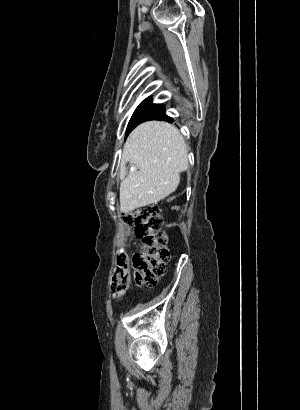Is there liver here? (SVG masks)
<instances>
[{
  "instance_id": "6515ba94",
  "label": "liver",
  "mask_w": 300,
  "mask_h": 410,
  "mask_svg": "<svg viewBox=\"0 0 300 410\" xmlns=\"http://www.w3.org/2000/svg\"><path fill=\"white\" fill-rule=\"evenodd\" d=\"M187 156L185 140L173 125L148 121L137 126L123 149L121 212L156 204L173 193L180 182V172L188 169ZM127 162L138 170L125 177Z\"/></svg>"
}]
</instances>
